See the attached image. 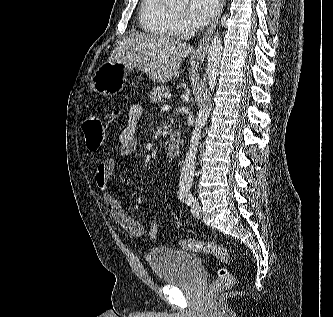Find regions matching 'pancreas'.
Segmentation results:
<instances>
[{
  "label": "pancreas",
  "mask_w": 333,
  "mask_h": 317,
  "mask_svg": "<svg viewBox=\"0 0 333 317\" xmlns=\"http://www.w3.org/2000/svg\"><path fill=\"white\" fill-rule=\"evenodd\" d=\"M170 92L169 87L159 86L154 87L149 94V101L152 103H160L164 101L166 95Z\"/></svg>",
  "instance_id": "cf45deb5"
}]
</instances>
